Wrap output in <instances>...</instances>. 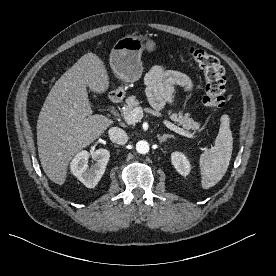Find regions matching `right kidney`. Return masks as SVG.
<instances>
[{"label":"right kidney","mask_w":276,"mask_h":276,"mask_svg":"<svg viewBox=\"0 0 276 276\" xmlns=\"http://www.w3.org/2000/svg\"><path fill=\"white\" fill-rule=\"evenodd\" d=\"M89 157L95 161L93 165L88 166ZM110 152L107 149H98L91 153L81 151L76 154L70 163V170L86 187L94 188L103 176Z\"/></svg>","instance_id":"obj_1"}]
</instances>
